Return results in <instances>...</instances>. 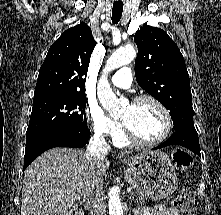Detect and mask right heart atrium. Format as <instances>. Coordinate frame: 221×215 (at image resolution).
I'll return each mask as SVG.
<instances>
[{
    "mask_svg": "<svg viewBox=\"0 0 221 215\" xmlns=\"http://www.w3.org/2000/svg\"><path fill=\"white\" fill-rule=\"evenodd\" d=\"M86 117L93 132L98 136L115 138L121 133L120 123L107 116L99 106L94 103H88Z\"/></svg>",
    "mask_w": 221,
    "mask_h": 215,
    "instance_id": "right-heart-atrium-1",
    "label": "right heart atrium"
}]
</instances>
